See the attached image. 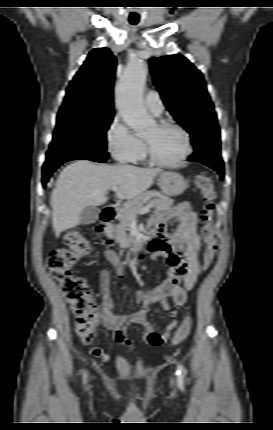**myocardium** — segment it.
Returning <instances> with one entry per match:
<instances>
[{
  "label": "myocardium",
  "mask_w": 273,
  "mask_h": 430,
  "mask_svg": "<svg viewBox=\"0 0 273 430\" xmlns=\"http://www.w3.org/2000/svg\"><path fill=\"white\" fill-rule=\"evenodd\" d=\"M155 125L159 129L171 128L180 132L184 138L185 148L182 155L178 159L174 161H162L155 156L149 141L144 139L145 153L148 161L153 165L160 166V167H177L183 164L192 153V143H191V138L188 131L181 125L172 121H159Z\"/></svg>",
  "instance_id": "1"
}]
</instances>
